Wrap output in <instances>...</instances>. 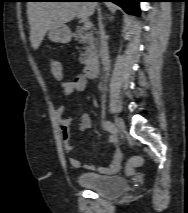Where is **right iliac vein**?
Wrapping results in <instances>:
<instances>
[{
  "label": "right iliac vein",
  "instance_id": "obj_1",
  "mask_svg": "<svg viewBox=\"0 0 188 213\" xmlns=\"http://www.w3.org/2000/svg\"><path fill=\"white\" fill-rule=\"evenodd\" d=\"M115 124L121 132L125 131V123L120 117H115Z\"/></svg>",
  "mask_w": 188,
  "mask_h": 213
}]
</instances>
